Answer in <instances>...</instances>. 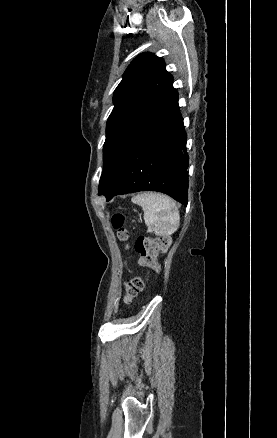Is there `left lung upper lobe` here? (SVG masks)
<instances>
[{"label": "left lung upper lobe", "instance_id": "obj_1", "mask_svg": "<svg viewBox=\"0 0 277 438\" xmlns=\"http://www.w3.org/2000/svg\"><path fill=\"white\" fill-rule=\"evenodd\" d=\"M172 82L163 59L151 53L137 56L125 71L114 91V108L107 121L99 194L115 182L130 148L138 112L148 96L166 100L179 112L178 93Z\"/></svg>", "mask_w": 277, "mask_h": 438}]
</instances>
